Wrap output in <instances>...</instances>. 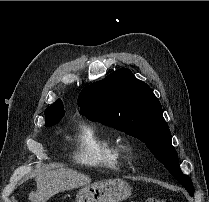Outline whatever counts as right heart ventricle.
Instances as JSON below:
<instances>
[{"mask_svg":"<svg viewBox=\"0 0 209 202\" xmlns=\"http://www.w3.org/2000/svg\"><path fill=\"white\" fill-rule=\"evenodd\" d=\"M75 143V159L81 163L121 169L127 161L118 138L95 124L83 123L75 134Z\"/></svg>","mask_w":209,"mask_h":202,"instance_id":"right-heart-ventricle-1","label":"right heart ventricle"}]
</instances>
